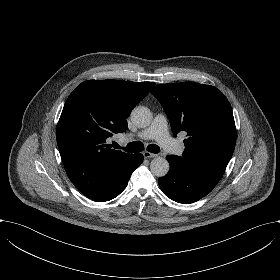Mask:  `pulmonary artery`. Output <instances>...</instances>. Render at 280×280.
<instances>
[{
	"instance_id": "e3ab8cb5",
	"label": "pulmonary artery",
	"mask_w": 280,
	"mask_h": 280,
	"mask_svg": "<svg viewBox=\"0 0 280 280\" xmlns=\"http://www.w3.org/2000/svg\"><path fill=\"white\" fill-rule=\"evenodd\" d=\"M138 137L156 140L168 153L181 156L184 151L183 145L173 139L168 133V121L165 115L157 114L150 126L138 133Z\"/></svg>"
}]
</instances>
